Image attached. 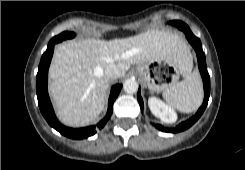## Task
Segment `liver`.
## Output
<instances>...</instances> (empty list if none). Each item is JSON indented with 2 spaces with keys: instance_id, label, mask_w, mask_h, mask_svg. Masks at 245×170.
I'll return each mask as SVG.
<instances>
[{
  "instance_id": "obj_1",
  "label": "liver",
  "mask_w": 245,
  "mask_h": 170,
  "mask_svg": "<svg viewBox=\"0 0 245 170\" xmlns=\"http://www.w3.org/2000/svg\"><path fill=\"white\" fill-rule=\"evenodd\" d=\"M170 59L187 75L191 58L183 40L164 30L110 41L72 40L55 48L49 69V91L57 116L72 127L84 126L103 111L110 79L104 74L109 65L123 77L132 64ZM118 77V78H119Z\"/></svg>"
}]
</instances>
